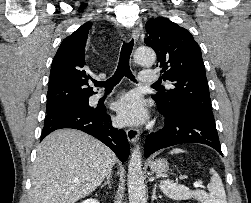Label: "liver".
I'll use <instances>...</instances> for the list:
<instances>
[{
  "mask_svg": "<svg viewBox=\"0 0 251 203\" xmlns=\"http://www.w3.org/2000/svg\"><path fill=\"white\" fill-rule=\"evenodd\" d=\"M116 156L81 131L57 130L37 148L29 203H75L111 173Z\"/></svg>",
  "mask_w": 251,
  "mask_h": 203,
  "instance_id": "1",
  "label": "liver"
}]
</instances>
